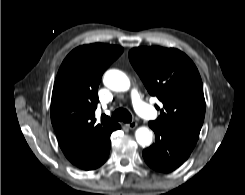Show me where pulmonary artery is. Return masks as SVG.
Instances as JSON below:
<instances>
[{
	"label": "pulmonary artery",
	"mask_w": 245,
	"mask_h": 195,
	"mask_svg": "<svg viewBox=\"0 0 245 195\" xmlns=\"http://www.w3.org/2000/svg\"><path fill=\"white\" fill-rule=\"evenodd\" d=\"M131 98L133 106L140 116L148 120H154L157 117L156 111L141 99L137 90L131 91Z\"/></svg>",
	"instance_id": "obj_1"
}]
</instances>
